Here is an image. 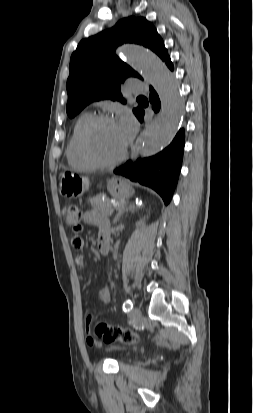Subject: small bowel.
<instances>
[{
  "label": "small bowel",
  "instance_id": "obj_1",
  "mask_svg": "<svg viewBox=\"0 0 253 413\" xmlns=\"http://www.w3.org/2000/svg\"><path fill=\"white\" fill-rule=\"evenodd\" d=\"M83 220L85 223L88 224H94L99 227L100 234L103 232H109L110 226H109V221L107 217L99 213L97 211H87L83 215ZM83 242L82 238L78 234H74L72 237V246L76 252H79L82 248ZM78 264L82 265L83 260L80 255L77 256L76 258ZM97 298L99 299L100 302L102 303H108L110 300V294L109 290L106 287H102L98 289L96 292ZM93 317L88 316L87 321H86V342L89 346H100L101 343L97 339L94 338V336L91 333V323H92Z\"/></svg>",
  "mask_w": 253,
  "mask_h": 413
}]
</instances>
